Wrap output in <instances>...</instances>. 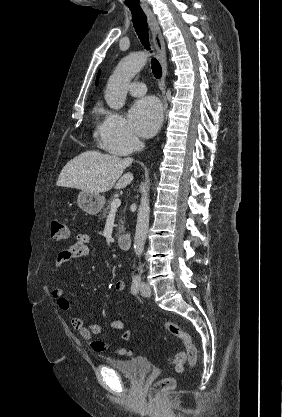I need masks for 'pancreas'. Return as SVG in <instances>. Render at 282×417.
Wrapping results in <instances>:
<instances>
[{"label":"pancreas","mask_w":282,"mask_h":417,"mask_svg":"<svg viewBox=\"0 0 282 417\" xmlns=\"http://www.w3.org/2000/svg\"><path fill=\"white\" fill-rule=\"evenodd\" d=\"M111 202H112V198L111 200H108V204H106V209H103L102 215H100V219H105V217H107V213H109V209H111ZM122 213H124V211H122ZM117 221H118V229H117L116 237H120L122 233H125V229H124L125 221H123L122 217H119Z\"/></svg>","instance_id":"pancreas-1"}]
</instances>
